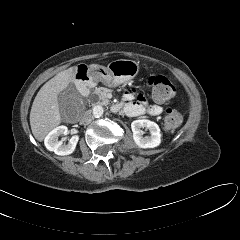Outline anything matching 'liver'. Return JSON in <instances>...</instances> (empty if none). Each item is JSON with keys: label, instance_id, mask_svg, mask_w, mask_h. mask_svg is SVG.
<instances>
[{"label": "liver", "instance_id": "liver-1", "mask_svg": "<svg viewBox=\"0 0 240 240\" xmlns=\"http://www.w3.org/2000/svg\"><path fill=\"white\" fill-rule=\"evenodd\" d=\"M99 66L91 64L88 68L92 70ZM76 73L77 67H70L59 72L37 93L30 112V126L36 140L43 141L49 131L61 123L58 94L65 90L70 83L75 82Z\"/></svg>", "mask_w": 240, "mask_h": 240}]
</instances>
